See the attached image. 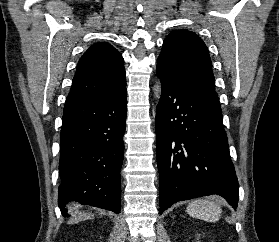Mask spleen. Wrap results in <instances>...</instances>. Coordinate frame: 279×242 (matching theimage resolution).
Listing matches in <instances>:
<instances>
[{
  "label": "spleen",
  "instance_id": "obj_1",
  "mask_svg": "<svg viewBox=\"0 0 279 242\" xmlns=\"http://www.w3.org/2000/svg\"><path fill=\"white\" fill-rule=\"evenodd\" d=\"M186 211L191 216L208 222L218 221L222 213L221 206L209 199L193 200L187 206Z\"/></svg>",
  "mask_w": 279,
  "mask_h": 242
}]
</instances>
